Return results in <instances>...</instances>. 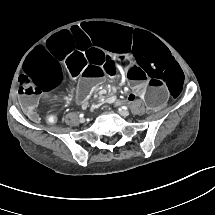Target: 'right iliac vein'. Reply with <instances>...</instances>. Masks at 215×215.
Returning a JSON list of instances; mask_svg holds the SVG:
<instances>
[{"label":"right iliac vein","instance_id":"63e3f726","mask_svg":"<svg viewBox=\"0 0 215 215\" xmlns=\"http://www.w3.org/2000/svg\"><path fill=\"white\" fill-rule=\"evenodd\" d=\"M81 122H85V119H84V118H82V119H81Z\"/></svg>","mask_w":215,"mask_h":215}]
</instances>
